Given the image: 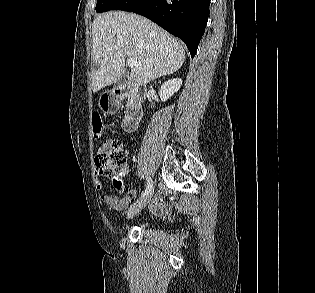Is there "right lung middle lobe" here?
<instances>
[{
  "label": "right lung middle lobe",
  "mask_w": 315,
  "mask_h": 293,
  "mask_svg": "<svg viewBox=\"0 0 315 293\" xmlns=\"http://www.w3.org/2000/svg\"><path fill=\"white\" fill-rule=\"evenodd\" d=\"M120 0H97L96 11L106 12L111 10Z\"/></svg>",
  "instance_id": "obj_1"
}]
</instances>
